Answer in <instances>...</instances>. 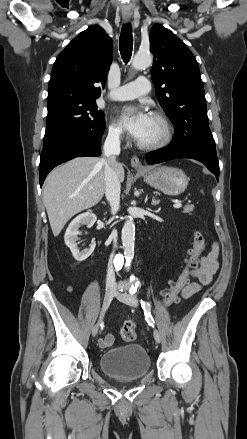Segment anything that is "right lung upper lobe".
<instances>
[{"label":"right lung upper lobe","instance_id":"right-lung-upper-lobe-1","mask_svg":"<svg viewBox=\"0 0 247 439\" xmlns=\"http://www.w3.org/2000/svg\"><path fill=\"white\" fill-rule=\"evenodd\" d=\"M112 40L97 25L75 37L58 55L48 86L47 106L101 95L112 62Z\"/></svg>","mask_w":247,"mask_h":439}]
</instances>
